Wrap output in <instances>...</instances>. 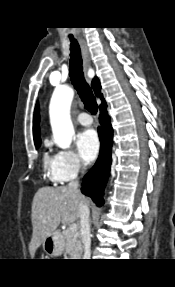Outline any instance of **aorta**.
<instances>
[{
    "label": "aorta",
    "mask_w": 175,
    "mask_h": 287,
    "mask_svg": "<svg viewBox=\"0 0 175 287\" xmlns=\"http://www.w3.org/2000/svg\"><path fill=\"white\" fill-rule=\"evenodd\" d=\"M73 97L72 88L68 86L58 87L54 90L50 101L49 115L54 142L62 149L70 147L75 134L70 117Z\"/></svg>",
    "instance_id": "aorta-1"
}]
</instances>
